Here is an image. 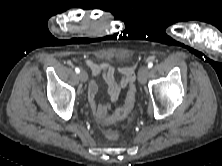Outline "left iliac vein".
Wrapping results in <instances>:
<instances>
[{
  "label": "left iliac vein",
  "mask_w": 222,
  "mask_h": 166,
  "mask_svg": "<svg viewBox=\"0 0 222 166\" xmlns=\"http://www.w3.org/2000/svg\"><path fill=\"white\" fill-rule=\"evenodd\" d=\"M149 74V68L147 66H142L138 72V80L141 84L146 83Z\"/></svg>",
  "instance_id": "4c4485c4"
}]
</instances>
